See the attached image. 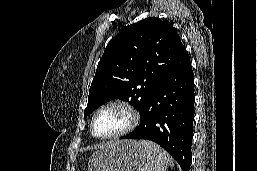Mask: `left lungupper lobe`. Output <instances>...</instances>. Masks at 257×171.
<instances>
[{
	"label": "left lung upper lobe",
	"instance_id": "obj_1",
	"mask_svg": "<svg viewBox=\"0 0 257 171\" xmlns=\"http://www.w3.org/2000/svg\"><path fill=\"white\" fill-rule=\"evenodd\" d=\"M182 47L178 33L158 18L128 26L110 40L98 63L84 117L115 98L129 101L142 114L166 66Z\"/></svg>",
	"mask_w": 257,
	"mask_h": 171
}]
</instances>
